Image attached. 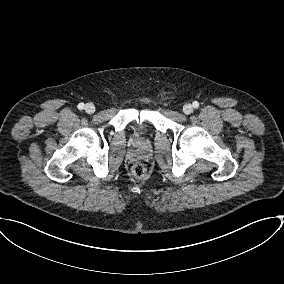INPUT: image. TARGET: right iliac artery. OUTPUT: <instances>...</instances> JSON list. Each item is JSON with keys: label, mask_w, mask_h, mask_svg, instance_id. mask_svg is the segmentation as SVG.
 I'll list each match as a JSON object with an SVG mask.
<instances>
[{"label": "right iliac artery", "mask_w": 284, "mask_h": 284, "mask_svg": "<svg viewBox=\"0 0 284 284\" xmlns=\"http://www.w3.org/2000/svg\"><path fill=\"white\" fill-rule=\"evenodd\" d=\"M83 108H84V103H79V104H78V109H79V110H82Z\"/></svg>", "instance_id": "82829eb1"}]
</instances>
